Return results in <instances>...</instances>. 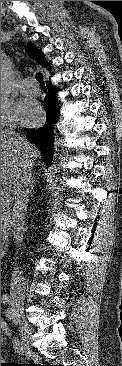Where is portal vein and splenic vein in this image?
<instances>
[{
    "label": "portal vein and splenic vein",
    "instance_id": "portal-vein-and-splenic-vein-1",
    "mask_svg": "<svg viewBox=\"0 0 122 366\" xmlns=\"http://www.w3.org/2000/svg\"><path fill=\"white\" fill-rule=\"evenodd\" d=\"M1 197H3L4 199H6L7 201L10 200V195L7 191H2L1 190Z\"/></svg>",
    "mask_w": 122,
    "mask_h": 366
}]
</instances>
